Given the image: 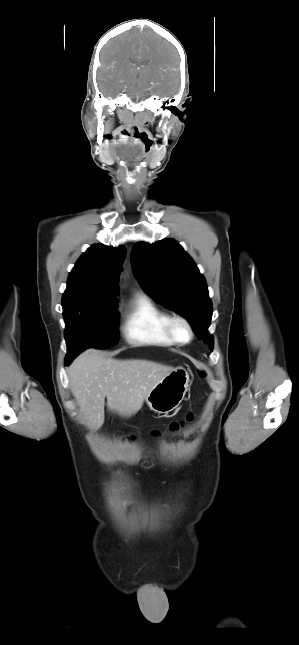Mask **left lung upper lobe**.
<instances>
[{"mask_svg": "<svg viewBox=\"0 0 299 645\" xmlns=\"http://www.w3.org/2000/svg\"><path fill=\"white\" fill-rule=\"evenodd\" d=\"M131 260L143 289L184 316L199 339L213 344L207 331L213 312L207 284L182 246L173 239L139 242L132 248Z\"/></svg>", "mask_w": 299, "mask_h": 645, "instance_id": "5c2ea615", "label": "left lung upper lobe"}]
</instances>
